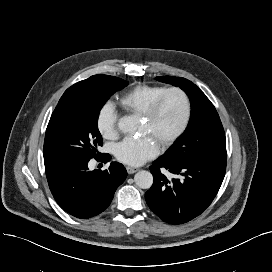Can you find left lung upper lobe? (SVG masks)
I'll return each instance as SVG.
<instances>
[{
	"instance_id": "obj_1",
	"label": "left lung upper lobe",
	"mask_w": 272,
	"mask_h": 272,
	"mask_svg": "<svg viewBox=\"0 0 272 272\" xmlns=\"http://www.w3.org/2000/svg\"><path fill=\"white\" fill-rule=\"evenodd\" d=\"M160 82L179 86L191 101V118L185 132L161 156L172 160H190L226 156L225 133L219 115L206 95L182 77L159 76Z\"/></svg>"
}]
</instances>
